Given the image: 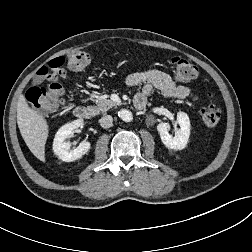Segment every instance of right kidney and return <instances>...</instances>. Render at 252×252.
<instances>
[{
    "label": "right kidney",
    "mask_w": 252,
    "mask_h": 252,
    "mask_svg": "<svg viewBox=\"0 0 252 252\" xmlns=\"http://www.w3.org/2000/svg\"><path fill=\"white\" fill-rule=\"evenodd\" d=\"M82 124L83 120L77 119L65 124L57 131L53 141V151L62 161L72 162L78 160L89 151L91 144L88 141H82L78 147L72 149L71 143L66 142V139Z\"/></svg>",
    "instance_id": "ca27d5eb"
}]
</instances>
